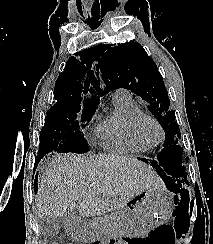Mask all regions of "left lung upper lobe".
<instances>
[{
	"instance_id": "obj_1",
	"label": "left lung upper lobe",
	"mask_w": 213,
	"mask_h": 244,
	"mask_svg": "<svg viewBox=\"0 0 213 244\" xmlns=\"http://www.w3.org/2000/svg\"><path fill=\"white\" fill-rule=\"evenodd\" d=\"M98 64L97 72L100 69L103 75L106 93L125 88L149 103L148 109L165 131L164 148L159 154H165L169 159L175 182L181 187L188 184L183 148L177 145L181 133L175 111L169 110L168 92L155 62L139 43L126 42L115 47L106 45L100 53Z\"/></svg>"
}]
</instances>
